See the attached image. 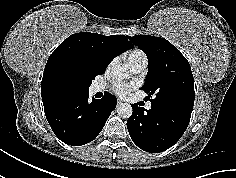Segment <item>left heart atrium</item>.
Masks as SVG:
<instances>
[{
	"mask_svg": "<svg viewBox=\"0 0 236 178\" xmlns=\"http://www.w3.org/2000/svg\"><path fill=\"white\" fill-rule=\"evenodd\" d=\"M134 88V85L131 83H124V82H114L112 85V91L120 96V97H126L132 91Z\"/></svg>",
	"mask_w": 236,
	"mask_h": 178,
	"instance_id": "obj_1",
	"label": "left heart atrium"
}]
</instances>
